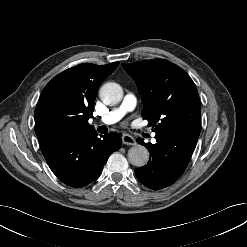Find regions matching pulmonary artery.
I'll return each instance as SVG.
<instances>
[{"instance_id":"pulmonary-artery-1","label":"pulmonary artery","mask_w":247,"mask_h":247,"mask_svg":"<svg viewBox=\"0 0 247 247\" xmlns=\"http://www.w3.org/2000/svg\"><path fill=\"white\" fill-rule=\"evenodd\" d=\"M136 102L137 101L134 95L132 94L126 95L121 105L117 108L112 109L106 115L102 116L99 119V123L110 125L118 122L124 117L126 113L134 110L136 106Z\"/></svg>"}]
</instances>
